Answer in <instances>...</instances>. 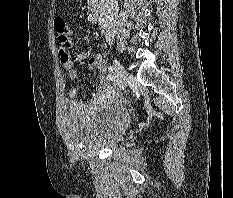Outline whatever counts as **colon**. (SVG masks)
Returning <instances> with one entry per match:
<instances>
[{
  "mask_svg": "<svg viewBox=\"0 0 233 198\" xmlns=\"http://www.w3.org/2000/svg\"><path fill=\"white\" fill-rule=\"evenodd\" d=\"M54 29L58 36V41L69 45L71 42L72 32L65 20L61 17L54 19Z\"/></svg>",
  "mask_w": 233,
  "mask_h": 198,
  "instance_id": "colon-1",
  "label": "colon"
}]
</instances>
